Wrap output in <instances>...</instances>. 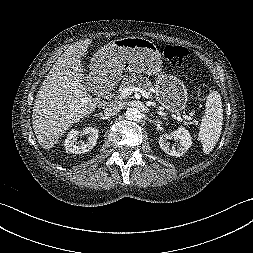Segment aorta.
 <instances>
[{
  "label": "aorta",
  "mask_w": 253,
  "mask_h": 253,
  "mask_svg": "<svg viewBox=\"0 0 253 253\" xmlns=\"http://www.w3.org/2000/svg\"><path fill=\"white\" fill-rule=\"evenodd\" d=\"M125 115L128 120L136 121L137 119L141 117V112L139 111L138 108L132 107L126 110Z\"/></svg>",
  "instance_id": "762f6f07"
}]
</instances>
